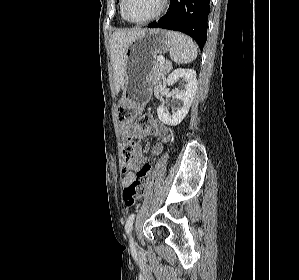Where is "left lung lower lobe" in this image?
<instances>
[{"label":"left lung lower lobe","instance_id":"1","mask_svg":"<svg viewBox=\"0 0 299 280\" xmlns=\"http://www.w3.org/2000/svg\"><path fill=\"white\" fill-rule=\"evenodd\" d=\"M210 0H171L169 10L149 28L181 31L191 36L202 50L207 39Z\"/></svg>","mask_w":299,"mask_h":280}]
</instances>
